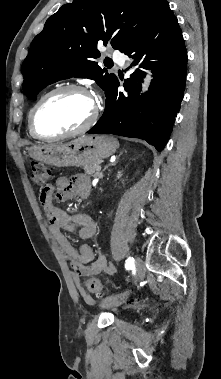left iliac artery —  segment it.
I'll return each mask as SVG.
<instances>
[{"label": "left iliac artery", "mask_w": 221, "mask_h": 379, "mask_svg": "<svg viewBox=\"0 0 221 379\" xmlns=\"http://www.w3.org/2000/svg\"><path fill=\"white\" fill-rule=\"evenodd\" d=\"M133 266H134V258L129 256L126 259L125 268H126V270H130Z\"/></svg>", "instance_id": "1"}]
</instances>
